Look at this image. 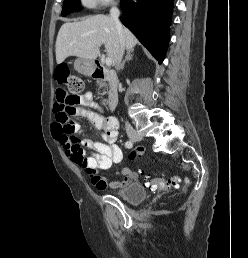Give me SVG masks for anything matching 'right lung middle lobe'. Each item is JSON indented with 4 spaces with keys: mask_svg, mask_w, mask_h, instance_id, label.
<instances>
[{
    "mask_svg": "<svg viewBox=\"0 0 248 258\" xmlns=\"http://www.w3.org/2000/svg\"><path fill=\"white\" fill-rule=\"evenodd\" d=\"M80 10V0H64L62 16H66L71 12Z\"/></svg>",
    "mask_w": 248,
    "mask_h": 258,
    "instance_id": "1",
    "label": "right lung middle lobe"
}]
</instances>
